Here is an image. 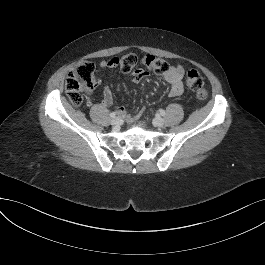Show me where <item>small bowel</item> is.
<instances>
[{"instance_id": "1", "label": "small bowel", "mask_w": 265, "mask_h": 265, "mask_svg": "<svg viewBox=\"0 0 265 265\" xmlns=\"http://www.w3.org/2000/svg\"><path fill=\"white\" fill-rule=\"evenodd\" d=\"M117 64L114 62L113 58L109 60H103L100 62V67L102 68H114ZM185 73V69L182 65H175L171 66L167 73L163 75L164 80L169 84V95L171 97L179 96L184 91V85H183V76ZM149 75L148 71L146 69H136L132 72L131 77L132 81L134 83H138L145 79ZM87 94H92V90L87 91ZM114 103L113 93L110 89V87L105 84L103 86L102 90V101L101 104L103 106L110 107ZM88 106H93V103L91 101L87 102ZM144 112V108L139 109L136 113H129L125 108H118L117 113L127 119V120H133L142 115Z\"/></svg>"}]
</instances>
